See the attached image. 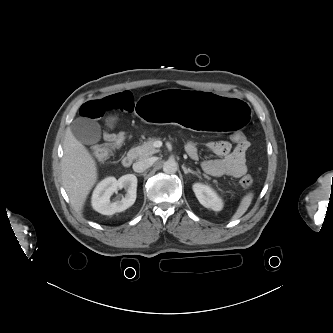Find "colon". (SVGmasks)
<instances>
[{
  "label": "colon",
  "instance_id": "5ec220e1",
  "mask_svg": "<svg viewBox=\"0 0 333 333\" xmlns=\"http://www.w3.org/2000/svg\"><path fill=\"white\" fill-rule=\"evenodd\" d=\"M230 138L236 144H241L247 141L245 135L240 131L232 132ZM106 139L108 141L107 144L98 145L93 147L92 149L93 156L99 161H104L108 159L111 156L112 152L124 143L125 134L124 133L107 134ZM240 182L243 187L249 188L253 184V177L249 174L244 175L241 178Z\"/></svg>",
  "mask_w": 333,
  "mask_h": 333
}]
</instances>
